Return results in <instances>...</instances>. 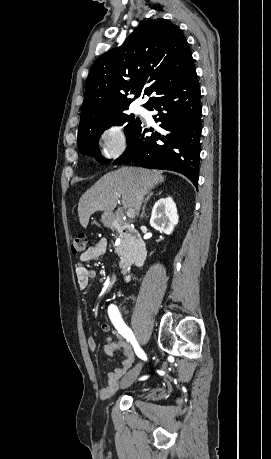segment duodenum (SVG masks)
<instances>
[{"mask_svg": "<svg viewBox=\"0 0 271 459\" xmlns=\"http://www.w3.org/2000/svg\"><path fill=\"white\" fill-rule=\"evenodd\" d=\"M112 226L122 235L129 238L134 249V265L141 266L147 257V247L140 232L119 218L112 219Z\"/></svg>", "mask_w": 271, "mask_h": 459, "instance_id": "obj_1", "label": "duodenum"}]
</instances>
